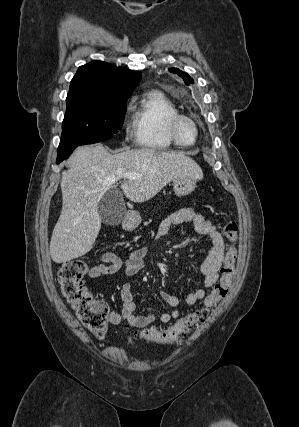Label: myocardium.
Returning a JSON list of instances; mask_svg holds the SVG:
<instances>
[{"label": "myocardium", "mask_w": 299, "mask_h": 427, "mask_svg": "<svg viewBox=\"0 0 299 427\" xmlns=\"http://www.w3.org/2000/svg\"><path fill=\"white\" fill-rule=\"evenodd\" d=\"M183 120H187L191 122L192 125L194 126L195 138L191 143H184L179 138L178 125ZM166 131L171 141L179 147H191L195 145L196 142L198 141L199 134H200V129L197 121L193 117L183 113H177L168 118L166 122Z\"/></svg>", "instance_id": "f54148a6"}]
</instances>
